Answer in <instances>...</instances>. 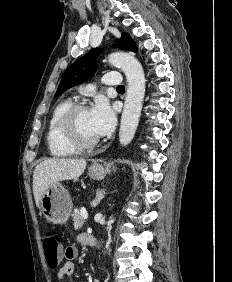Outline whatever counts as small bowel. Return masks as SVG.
Segmentation results:
<instances>
[{"instance_id":"c3829d8e","label":"small bowel","mask_w":232,"mask_h":282,"mask_svg":"<svg viewBox=\"0 0 232 282\" xmlns=\"http://www.w3.org/2000/svg\"><path fill=\"white\" fill-rule=\"evenodd\" d=\"M90 235L88 234H79L77 236V241L81 244H87V239ZM67 253L65 258L68 260L64 265H62L57 271V280L58 282H67V278L72 276L75 271V265L72 262L74 258L77 257V249L74 247L66 248ZM94 282H100L99 279H95Z\"/></svg>"}]
</instances>
